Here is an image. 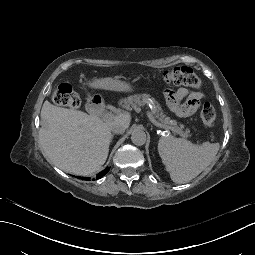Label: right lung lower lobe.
I'll list each match as a JSON object with an SVG mask.
<instances>
[{"label": "right lung lower lobe", "mask_w": 255, "mask_h": 255, "mask_svg": "<svg viewBox=\"0 0 255 255\" xmlns=\"http://www.w3.org/2000/svg\"><path fill=\"white\" fill-rule=\"evenodd\" d=\"M104 175H102L101 177H103ZM101 177H99V178H101ZM99 178H97V179H99ZM85 180H90V178H84Z\"/></svg>", "instance_id": "98d812e1"}]
</instances>
